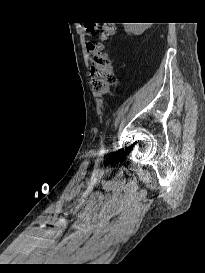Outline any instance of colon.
<instances>
[{"mask_svg": "<svg viewBox=\"0 0 205 273\" xmlns=\"http://www.w3.org/2000/svg\"><path fill=\"white\" fill-rule=\"evenodd\" d=\"M114 28V22L107 21L96 26L88 25L86 29L91 34H99L102 39H108L113 35ZM88 57L91 64L93 90L97 95H105L109 87L116 81L112 72L110 57L100 43L88 45Z\"/></svg>", "mask_w": 205, "mask_h": 273, "instance_id": "obj_1", "label": "colon"}]
</instances>
